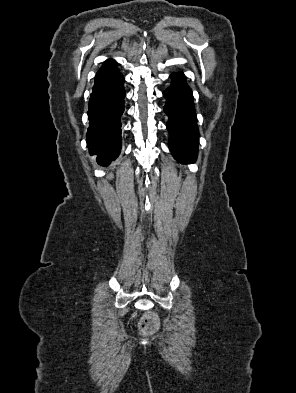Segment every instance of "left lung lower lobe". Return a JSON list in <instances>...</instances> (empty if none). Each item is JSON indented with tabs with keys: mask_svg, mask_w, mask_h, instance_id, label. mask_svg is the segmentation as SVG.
I'll return each mask as SVG.
<instances>
[{
	"mask_svg": "<svg viewBox=\"0 0 296 393\" xmlns=\"http://www.w3.org/2000/svg\"><path fill=\"white\" fill-rule=\"evenodd\" d=\"M172 83L163 95L167 102L164 111L169 117V148L181 163H193L197 157L198 127L193 94L182 72L173 73Z\"/></svg>",
	"mask_w": 296,
	"mask_h": 393,
	"instance_id": "0a47b994",
	"label": "left lung lower lobe"
}]
</instances>
